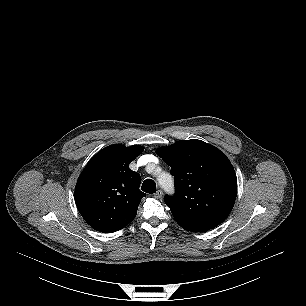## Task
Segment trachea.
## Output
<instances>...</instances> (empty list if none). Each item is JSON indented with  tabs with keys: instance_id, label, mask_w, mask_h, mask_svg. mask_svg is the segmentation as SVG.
Returning a JSON list of instances; mask_svg holds the SVG:
<instances>
[{
	"instance_id": "1",
	"label": "trachea",
	"mask_w": 306,
	"mask_h": 306,
	"mask_svg": "<svg viewBox=\"0 0 306 306\" xmlns=\"http://www.w3.org/2000/svg\"><path fill=\"white\" fill-rule=\"evenodd\" d=\"M142 191L149 193V194H153L156 192V184L153 180L151 179H146L141 187Z\"/></svg>"
}]
</instances>
